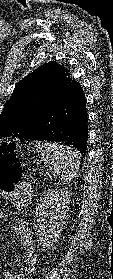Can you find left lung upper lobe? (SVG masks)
<instances>
[{"label":"left lung upper lobe","mask_w":113,"mask_h":279,"mask_svg":"<svg viewBox=\"0 0 113 279\" xmlns=\"http://www.w3.org/2000/svg\"><path fill=\"white\" fill-rule=\"evenodd\" d=\"M64 66L55 61L45 63L17 83L13 95L0 115V137H17L39 105L65 73Z\"/></svg>","instance_id":"obj_1"}]
</instances>
